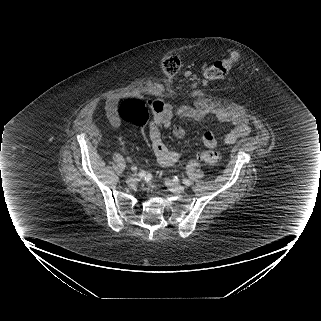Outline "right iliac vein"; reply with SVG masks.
Returning a JSON list of instances; mask_svg holds the SVG:
<instances>
[{"label": "right iliac vein", "instance_id": "63e3f726", "mask_svg": "<svg viewBox=\"0 0 321 321\" xmlns=\"http://www.w3.org/2000/svg\"><path fill=\"white\" fill-rule=\"evenodd\" d=\"M126 182H127L128 185L134 186L135 184H137L138 179H137V177H135V176H131V177H129V178L127 179Z\"/></svg>", "mask_w": 321, "mask_h": 321}]
</instances>
